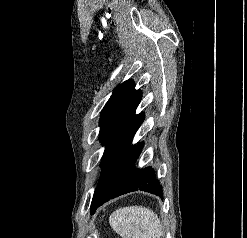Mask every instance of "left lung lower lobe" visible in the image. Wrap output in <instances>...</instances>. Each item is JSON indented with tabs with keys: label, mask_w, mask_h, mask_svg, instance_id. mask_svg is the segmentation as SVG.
<instances>
[{
	"label": "left lung lower lobe",
	"mask_w": 247,
	"mask_h": 238,
	"mask_svg": "<svg viewBox=\"0 0 247 238\" xmlns=\"http://www.w3.org/2000/svg\"><path fill=\"white\" fill-rule=\"evenodd\" d=\"M133 138V137H132ZM132 139L106 169L97 188V207L119 195L141 190L162 196V187L152 167L136 169L143 143L131 146Z\"/></svg>",
	"instance_id": "0a47b994"
}]
</instances>
